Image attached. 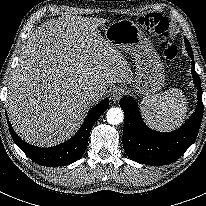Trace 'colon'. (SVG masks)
<instances>
[{
    "mask_svg": "<svg viewBox=\"0 0 206 206\" xmlns=\"http://www.w3.org/2000/svg\"><path fill=\"white\" fill-rule=\"evenodd\" d=\"M139 26L153 34L160 41V48L167 60L173 61L178 56L177 47L168 39V21L159 14H150L138 19Z\"/></svg>",
    "mask_w": 206,
    "mask_h": 206,
    "instance_id": "colon-1",
    "label": "colon"
}]
</instances>
